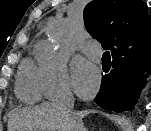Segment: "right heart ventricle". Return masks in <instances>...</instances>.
<instances>
[{
    "mask_svg": "<svg viewBox=\"0 0 151 131\" xmlns=\"http://www.w3.org/2000/svg\"><path fill=\"white\" fill-rule=\"evenodd\" d=\"M16 95L26 103H36L44 95L38 66L32 60H25L20 66L16 81Z\"/></svg>",
    "mask_w": 151,
    "mask_h": 131,
    "instance_id": "obj_1",
    "label": "right heart ventricle"
}]
</instances>
